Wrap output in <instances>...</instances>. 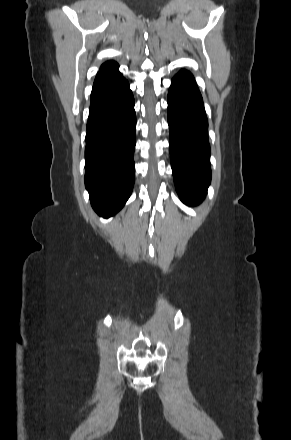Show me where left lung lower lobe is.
Masks as SVG:
<instances>
[{"mask_svg": "<svg viewBox=\"0 0 291 440\" xmlns=\"http://www.w3.org/2000/svg\"><path fill=\"white\" fill-rule=\"evenodd\" d=\"M170 160L180 199L197 205L211 180L208 121L202 96L192 74L181 70L168 93Z\"/></svg>", "mask_w": 291, "mask_h": 440, "instance_id": "1", "label": "left lung lower lobe"}]
</instances>
